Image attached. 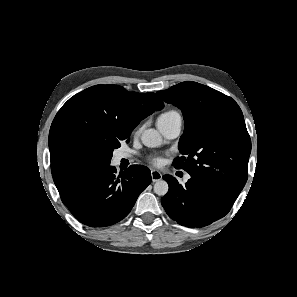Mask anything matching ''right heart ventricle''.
Masks as SVG:
<instances>
[{"mask_svg":"<svg viewBox=\"0 0 297 297\" xmlns=\"http://www.w3.org/2000/svg\"><path fill=\"white\" fill-rule=\"evenodd\" d=\"M176 117H180V114L176 110H169L160 116L159 121L160 120H169V119H173Z\"/></svg>","mask_w":297,"mask_h":297,"instance_id":"obj_1","label":"right heart ventricle"}]
</instances>
